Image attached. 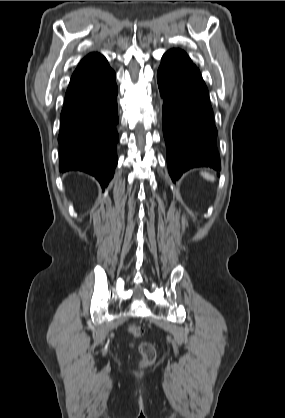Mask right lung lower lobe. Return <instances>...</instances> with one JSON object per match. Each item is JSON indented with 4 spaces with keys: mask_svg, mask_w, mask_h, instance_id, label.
Returning <instances> with one entry per match:
<instances>
[{
    "mask_svg": "<svg viewBox=\"0 0 285 418\" xmlns=\"http://www.w3.org/2000/svg\"><path fill=\"white\" fill-rule=\"evenodd\" d=\"M115 78L110 69L88 85L66 94L60 114V171L89 173L103 189L113 178L118 163Z\"/></svg>",
    "mask_w": 285,
    "mask_h": 418,
    "instance_id": "obj_1",
    "label": "right lung lower lobe"
}]
</instances>
